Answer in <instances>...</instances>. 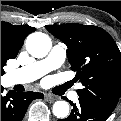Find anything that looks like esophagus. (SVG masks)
I'll list each match as a JSON object with an SVG mask.
<instances>
[{"label":"esophagus","mask_w":121,"mask_h":121,"mask_svg":"<svg viewBox=\"0 0 121 121\" xmlns=\"http://www.w3.org/2000/svg\"><path fill=\"white\" fill-rule=\"evenodd\" d=\"M45 98L50 102H54L55 100H57V97L55 95L49 93L45 94Z\"/></svg>","instance_id":"obj_1"}]
</instances>
